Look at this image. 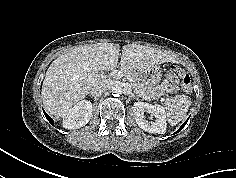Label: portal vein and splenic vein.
Instances as JSON below:
<instances>
[{
	"label": "portal vein and splenic vein",
	"mask_w": 236,
	"mask_h": 178,
	"mask_svg": "<svg viewBox=\"0 0 236 178\" xmlns=\"http://www.w3.org/2000/svg\"><path fill=\"white\" fill-rule=\"evenodd\" d=\"M110 76L116 77V78H122L123 76H126L127 79L130 82H132V78L129 75H124V73L122 71L114 70V71L110 72Z\"/></svg>",
	"instance_id": "1"
}]
</instances>
